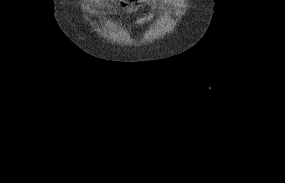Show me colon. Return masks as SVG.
<instances>
[{"label": "colon", "mask_w": 285, "mask_h": 183, "mask_svg": "<svg viewBox=\"0 0 285 183\" xmlns=\"http://www.w3.org/2000/svg\"><path fill=\"white\" fill-rule=\"evenodd\" d=\"M123 1H128V0H123ZM129 1H131V2H135V1H137V0H129Z\"/></svg>", "instance_id": "obj_1"}]
</instances>
